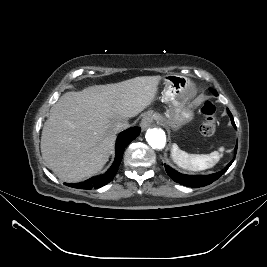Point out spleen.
Segmentation results:
<instances>
[{"label": "spleen", "mask_w": 267, "mask_h": 267, "mask_svg": "<svg viewBox=\"0 0 267 267\" xmlns=\"http://www.w3.org/2000/svg\"><path fill=\"white\" fill-rule=\"evenodd\" d=\"M224 147L210 154H189L181 150L177 144L172 145L171 156L180 167L189 171H202L213 167L222 157Z\"/></svg>", "instance_id": "3e777b00"}]
</instances>
